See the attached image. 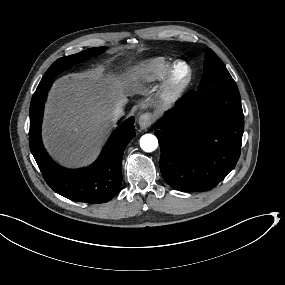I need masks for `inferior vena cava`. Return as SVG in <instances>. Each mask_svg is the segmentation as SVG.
<instances>
[{
	"label": "inferior vena cava",
	"instance_id": "obj_1",
	"mask_svg": "<svg viewBox=\"0 0 285 285\" xmlns=\"http://www.w3.org/2000/svg\"><path fill=\"white\" fill-rule=\"evenodd\" d=\"M128 100L125 101L127 103ZM124 103V102H123ZM121 104L120 106L116 107L112 113V121L117 122L119 118H121L124 115L123 106L124 104Z\"/></svg>",
	"mask_w": 285,
	"mask_h": 285
}]
</instances>
